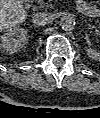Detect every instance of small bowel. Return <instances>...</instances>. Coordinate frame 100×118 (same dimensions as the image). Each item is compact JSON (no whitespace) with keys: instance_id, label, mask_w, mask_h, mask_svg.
Masks as SVG:
<instances>
[{"instance_id":"1","label":"small bowel","mask_w":100,"mask_h":118,"mask_svg":"<svg viewBox=\"0 0 100 118\" xmlns=\"http://www.w3.org/2000/svg\"><path fill=\"white\" fill-rule=\"evenodd\" d=\"M76 6L81 12L84 13L92 14L94 11V7L85 0H76Z\"/></svg>"}]
</instances>
